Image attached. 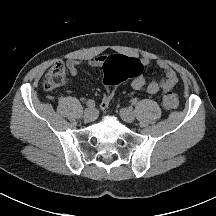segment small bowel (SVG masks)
Returning a JSON list of instances; mask_svg holds the SVG:
<instances>
[{
    "instance_id": "1",
    "label": "small bowel",
    "mask_w": 216,
    "mask_h": 216,
    "mask_svg": "<svg viewBox=\"0 0 216 216\" xmlns=\"http://www.w3.org/2000/svg\"><path fill=\"white\" fill-rule=\"evenodd\" d=\"M119 55L107 56L100 55L94 58L87 60L88 66L92 68H102L104 67L107 60L113 57H117ZM143 66H147L150 64V59L147 57H142L135 59ZM81 64L80 61L77 60H68L66 62L67 71L71 76H76L78 74V68ZM158 67L163 71L164 77L160 81L152 80L147 82L145 77L142 75L136 76L130 83V86L133 90L140 91L145 89L147 93L151 95H157L161 90L169 91L172 90L179 82L176 71L171 67V65L165 60L157 61Z\"/></svg>"
}]
</instances>
